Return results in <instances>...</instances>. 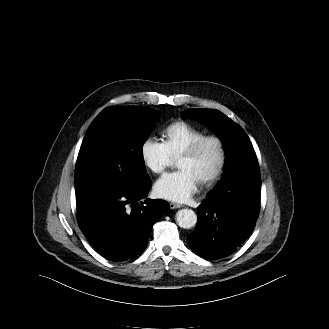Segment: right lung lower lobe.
<instances>
[{
    "label": "right lung lower lobe",
    "mask_w": 329,
    "mask_h": 329,
    "mask_svg": "<svg viewBox=\"0 0 329 329\" xmlns=\"http://www.w3.org/2000/svg\"><path fill=\"white\" fill-rule=\"evenodd\" d=\"M150 187L151 180L139 190L98 183L76 192L80 229L106 259L124 261L141 253L153 224L170 210L158 199L136 204Z\"/></svg>",
    "instance_id": "right-lung-lower-lobe-1"
}]
</instances>
